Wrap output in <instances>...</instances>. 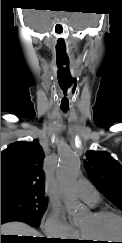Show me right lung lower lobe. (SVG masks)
I'll list each match as a JSON object with an SVG mask.
<instances>
[{
  "mask_svg": "<svg viewBox=\"0 0 122 243\" xmlns=\"http://www.w3.org/2000/svg\"><path fill=\"white\" fill-rule=\"evenodd\" d=\"M9 221H22L25 223L30 224L31 226H39L40 221L36 220L34 217H32L29 214L20 212V211H14V210H8V209H1V224L9 222ZM34 242L36 243H53V241L47 240V239H37Z\"/></svg>",
  "mask_w": 122,
  "mask_h": 243,
  "instance_id": "98d812e1",
  "label": "right lung lower lobe"
}]
</instances>
